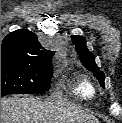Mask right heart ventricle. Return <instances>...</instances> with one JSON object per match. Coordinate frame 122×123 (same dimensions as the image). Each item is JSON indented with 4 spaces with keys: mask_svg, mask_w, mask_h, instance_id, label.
<instances>
[{
    "mask_svg": "<svg viewBox=\"0 0 122 123\" xmlns=\"http://www.w3.org/2000/svg\"><path fill=\"white\" fill-rule=\"evenodd\" d=\"M72 93L81 99H90L94 96V87L87 78L80 77L74 83Z\"/></svg>",
    "mask_w": 122,
    "mask_h": 123,
    "instance_id": "1",
    "label": "right heart ventricle"
}]
</instances>
